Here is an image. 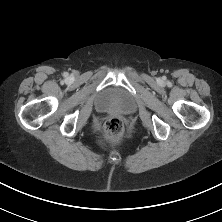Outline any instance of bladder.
<instances>
[{
    "label": "bladder",
    "mask_w": 222,
    "mask_h": 222,
    "mask_svg": "<svg viewBox=\"0 0 222 222\" xmlns=\"http://www.w3.org/2000/svg\"><path fill=\"white\" fill-rule=\"evenodd\" d=\"M94 106L102 113L130 114L135 111L136 102L128 92L118 88H108L96 96Z\"/></svg>",
    "instance_id": "bladder-1"
}]
</instances>
